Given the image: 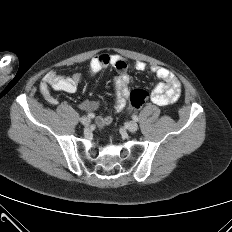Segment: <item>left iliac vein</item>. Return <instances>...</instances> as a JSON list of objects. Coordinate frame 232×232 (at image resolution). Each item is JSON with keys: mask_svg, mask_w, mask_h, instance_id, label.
<instances>
[{"mask_svg": "<svg viewBox=\"0 0 232 232\" xmlns=\"http://www.w3.org/2000/svg\"><path fill=\"white\" fill-rule=\"evenodd\" d=\"M127 128H128V130H129L130 132H136L137 129H138V125H137L136 122L131 121V122L128 123Z\"/></svg>", "mask_w": 232, "mask_h": 232, "instance_id": "obj_1", "label": "left iliac vein"}]
</instances>
